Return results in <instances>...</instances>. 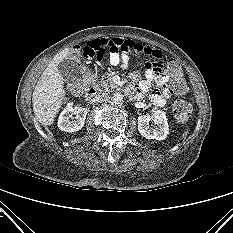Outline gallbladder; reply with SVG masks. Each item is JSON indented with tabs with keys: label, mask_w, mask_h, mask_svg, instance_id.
Listing matches in <instances>:
<instances>
[{
	"label": "gallbladder",
	"mask_w": 233,
	"mask_h": 233,
	"mask_svg": "<svg viewBox=\"0 0 233 233\" xmlns=\"http://www.w3.org/2000/svg\"><path fill=\"white\" fill-rule=\"evenodd\" d=\"M58 70L64 80L66 81H78L81 77L82 71L77 63L70 59H64L58 64Z\"/></svg>",
	"instance_id": "1"
}]
</instances>
